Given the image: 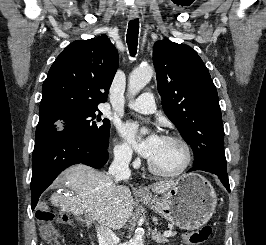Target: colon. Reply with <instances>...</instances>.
<instances>
[{
	"label": "colon",
	"mask_w": 266,
	"mask_h": 245,
	"mask_svg": "<svg viewBox=\"0 0 266 245\" xmlns=\"http://www.w3.org/2000/svg\"><path fill=\"white\" fill-rule=\"evenodd\" d=\"M36 220L44 245H61L58 232L54 226V211L51 208H40L36 212ZM212 233L210 225L185 234V239L190 245H202Z\"/></svg>",
	"instance_id": "1"
}]
</instances>
